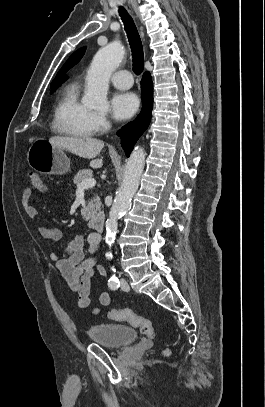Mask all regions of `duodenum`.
Wrapping results in <instances>:
<instances>
[{
  "instance_id": "obj_1",
  "label": "duodenum",
  "mask_w": 265,
  "mask_h": 407,
  "mask_svg": "<svg viewBox=\"0 0 265 407\" xmlns=\"http://www.w3.org/2000/svg\"><path fill=\"white\" fill-rule=\"evenodd\" d=\"M89 225L91 228L98 232H102L104 228V216L101 212H98L90 217Z\"/></svg>"
}]
</instances>
